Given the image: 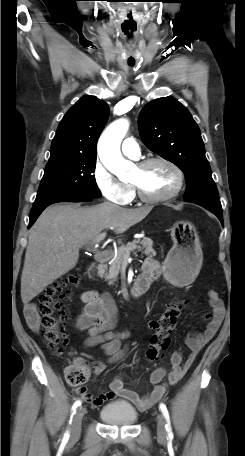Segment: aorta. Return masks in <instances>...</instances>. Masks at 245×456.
<instances>
[{
    "label": "aorta",
    "mask_w": 245,
    "mask_h": 456,
    "mask_svg": "<svg viewBox=\"0 0 245 456\" xmlns=\"http://www.w3.org/2000/svg\"><path fill=\"white\" fill-rule=\"evenodd\" d=\"M129 128L126 119H119L111 123L100 136L98 154L103 165L118 178L127 175L132 163L121 154L120 144Z\"/></svg>",
    "instance_id": "obj_1"
}]
</instances>
